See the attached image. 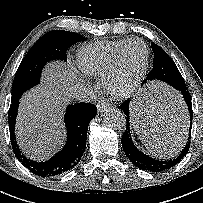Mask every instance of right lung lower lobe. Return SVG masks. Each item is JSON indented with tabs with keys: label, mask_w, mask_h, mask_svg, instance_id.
Instances as JSON below:
<instances>
[{
	"label": "right lung lower lobe",
	"mask_w": 203,
	"mask_h": 203,
	"mask_svg": "<svg viewBox=\"0 0 203 203\" xmlns=\"http://www.w3.org/2000/svg\"><path fill=\"white\" fill-rule=\"evenodd\" d=\"M18 106L19 99L11 102L8 113L11 145L18 160L33 174L40 177L57 176L75 167L85 151L88 126L96 116V106L83 102L67 107L65 113L66 144L60 152L45 162L31 160L19 149L14 133Z\"/></svg>",
	"instance_id": "obj_1"
}]
</instances>
